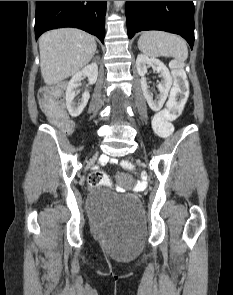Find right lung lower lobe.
<instances>
[{"instance_id": "98d812e1", "label": "right lung lower lobe", "mask_w": 233, "mask_h": 295, "mask_svg": "<svg viewBox=\"0 0 233 295\" xmlns=\"http://www.w3.org/2000/svg\"><path fill=\"white\" fill-rule=\"evenodd\" d=\"M107 1H36L35 37L61 27H75L104 43Z\"/></svg>"}]
</instances>
